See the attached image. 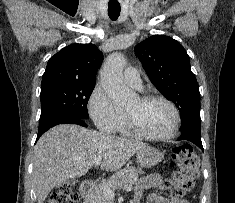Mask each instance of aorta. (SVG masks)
Instances as JSON below:
<instances>
[{
    "instance_id": "aorta-1",
    "label": "aorta",
    "mask_w": 235,
    "mask_h": 203,
    "mask_svg": "<svg viewBox=\"0 0 235 203\" xmlns=\"http://www.w3.org/2000/svg\"><path fill=\"white\" fill-rule=\"evenodd\" d=\"M126 63L124 56L120 53L109 55L101 69V84L108 96L117 105L126 104L130 91L123 83V68Z\"/></svg>"
}]
</instances>
